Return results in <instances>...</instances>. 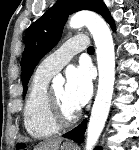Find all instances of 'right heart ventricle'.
<instances>
[{
  "mask_svg": "<svg viewBox=\"0 0 139 150\" xmlns=\"http://www.w3.org/2000/svg\"><path fill=\"white\" fill-rule=\"evenodd\" d=\"M50 77L35 74L29 88L23 111L26 131L34 138L55 134L59 128L51 123L46 111L47 84Z\"/></svg>",
  "mask_w": 139,
  "mask_h": 150,
  "instance_id": "e07e8e85",
  "label": "right heart ventricle"
}]
</instances>
